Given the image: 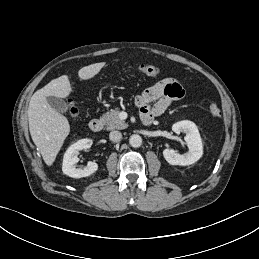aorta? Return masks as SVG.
Masks as SVG:
<instances>
[{"mask_svg":"<svg viewBox=\"0 0 259 259\" xmlns=\"http://www.w3.org/2000/svg\"><path fill=\"white\" fill-rule=\"evenodd\" d=\"M129 143L134 148L140 147L142 145V138L140 135L134 134L130 136Z\"/></svg>","mask_w":259,"mask_h":259,"instance_id":"aorta-1","label":"aorta"}]
</instances>
